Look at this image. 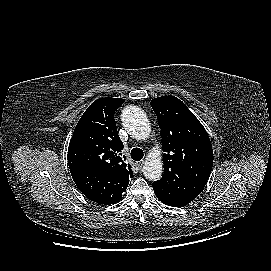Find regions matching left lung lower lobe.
<instances>
[{
	"label": "left lung lower lobe",
	"instance_id": "1",
	"mask_svg": "<svg viewBox=\"0 0 271 271\" xmlns=\"http://www.w3.org/2000/svg\"><path fill=\"white\" fill-rule=\"evenodd\" d=\"M203 188L179 172L165 173L160 180L153 182L157 198L173 207L187 205L202 192Z\"/></svg>",
	"mask_w": 271,
	"mask_h": 271
}]
</instances>
